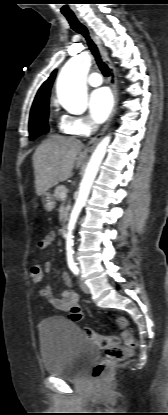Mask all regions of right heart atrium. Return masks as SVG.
<instances>
[{"label":"right heart atrium","mask_w":168,"mask_h":415,"mask_svg":"<svg viewBox=\"0 0 168 415\" xmlns=\"http://www.w3.org/2000/svg\"><path fill=\"white\" fill-rule=\"evenodd\" d=\"M63 119L67 129L72 135L88 136L95 129L93 122L86 117L66 115L63 117Z\"/></svg>","instance_id":"obj_1"}]
</instances>
